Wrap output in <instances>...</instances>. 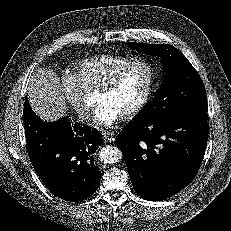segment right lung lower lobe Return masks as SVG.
<instances>
[{
    "instance_id": "98d812e1",
    "label": "right lung lower lobe",
    "mask_w": 231,
    "mask_h": 231,
    "mask_svg": "<svg viewBox=\"0 0 231 231\" xmlns=\"http://www.w3.org/2000/svg\"><path fill=\"white\" fill-rule=\"evenodd\" d=\"M24 128L30 161L52 194L77 202L96 191L101 172L94 165L93 154L102 142L99 131L73 123L68 116L43 122L27 98Z\"/></svg>"
}]
</instances>
